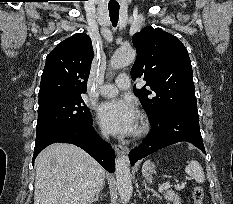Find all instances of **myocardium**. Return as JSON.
<instances>
[{
	"label": "myocardium",
	"mask_w": 233,
	"mask_h": 204,
	"mask_svg": "<svg viewBox=\"0 0 233 204\" xmlns=\"http://www.w3.org/2000/svg\"><path fill=\"white\" fill-rule=\"evenodd\" d=\"M150 130V124L147 117L144 114H140L138 118V124L134 131V137L139 139L148 134Z\"/></svg>",
	"instance_id": "f54148a6"
}]
</instances>
